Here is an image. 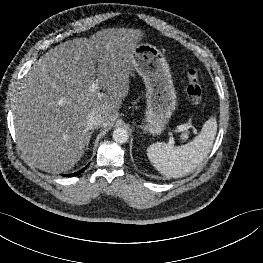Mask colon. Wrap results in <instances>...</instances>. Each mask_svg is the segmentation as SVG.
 <instances>
[{"label": "colon", "instance_id": "obj_1", "mask_svg": "<svg viewBox=\"0 0 263 263\" xmlns=\"http://www.w3.org/2000/svg\"><path fill=\"white\" fill-rule=\"evenodd\" d=\"M186 96L188 100L194 104L198 105L202 100V87L199 82V73L194 66H189L187 69V86H186Z\"/></svg>", "mask_w": 263, "mask_h": 263}]
</instances>
